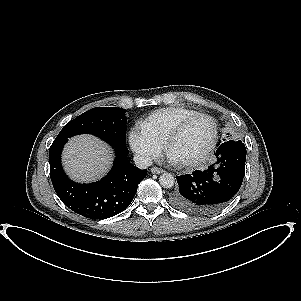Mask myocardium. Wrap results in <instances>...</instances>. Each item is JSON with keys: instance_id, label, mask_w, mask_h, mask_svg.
<instances>
[{"instance_id": "myocardium-1", "label": "myocardium", "mask_w": 301, "mask_h": 301, "mask_svg": "<svg viewBox=\"0 0 301 301\" xmlns=\"http://www.w3.org/2000/svg\"><path fill=\"white\" fill-rule=\"evenodd\" d=\"M198 119H205V120L210 121V123L212 124L213 133H212V138L210 140V143H209L207 149L201 156H199L198 158H196L194 160L183 162V165L186 167H189V168H195V167L202 166L209 161L210 156H211L212 152L214 151L216 144H217V140H218V126H217L215 119L213 117H211L207 114H203V113H198L194 116H191V117L185 119L184 121H182L174 130H172L164 141V149H165L166 153L169 154L172 144L182 136V134L184 133L186 128L191 123H193L194 121H196Z\"/></svg>"}]
</instances>
